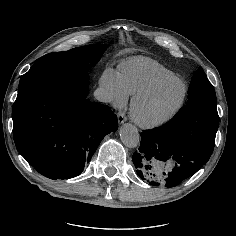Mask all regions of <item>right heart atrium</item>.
I'll list each match as a JSON object with an SVG mask.
<instances>
[{"label": "right heart atrium", "instance_id": "1", "mask_svg": "<svg viewBox=\"0 0 236 236\" xmlns=\"http://www.w3.org/2000/svg\"><path fill=\"white\" fill-rule=\"evenodd\" d=\"M100 86L105 102L111 103L117 108H122L127 104L129 94L119 72L109 67L105 68L101 74Z\"/></svg>", "mask_w": 236, "mask_h": 236}]
</instances>
